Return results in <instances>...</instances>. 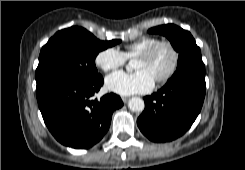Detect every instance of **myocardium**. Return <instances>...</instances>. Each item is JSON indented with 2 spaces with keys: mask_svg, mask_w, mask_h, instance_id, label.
I'll use <instances>...</instances> for the list:
<instances>
[{
  "mask_svg": "<svg viewBox=\"0 0 245 170\" xmlns=\"http://www.w3.org/2000/svg\"><path fill=\"white\" fill-rule=\"evenodd\" d=\"M160 46L168 47V49L170 50V52L172 54V57H173V61H172L171 67L166 72V74H164L162 77L157 78L155 80L157 83H165V82H167L168 80H170L172 78V76L175 74V72H176V70L178 68V65H179V52L176 49V47L170 41H168V40H158L155 43H153L151 46H149L147 49H145L144 51L139 53L136 58L148 59L155 53V51Z\"/></svg>",
  "mask_w": 245,
  "mask_h": 170,
  "instance_id": "f54148a6",
  "label": "myocardium"
}]
</instances>
